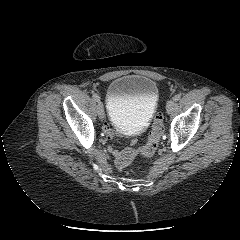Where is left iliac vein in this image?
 I'll list each match as a JSON object with an SVG mask.
<instances>
[{
    "label": "left iliac vein",
    "mask_w": 240,
    "mask_h": 240,
    "mask_svg": "<svg viewBox=\"0 0 240 240\" xmlns=\"http://www.w3.org/2000/svg\"><path fill=\"white\" fill-rule=\"evenodd\" d=\"M174 105H175L174 100H168L167 101L166 109H167L168 114H170L173 111Z\"/></svg>",
    "instance_id": "obj_1"
}]
</instances>
